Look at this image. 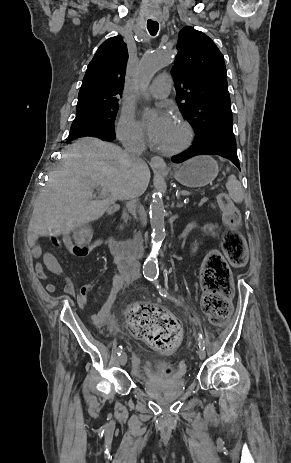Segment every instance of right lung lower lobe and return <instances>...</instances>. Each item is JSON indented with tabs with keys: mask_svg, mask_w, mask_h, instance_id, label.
<instances>
[{
	"mask_svg": "<svg viewBox=\"0 0 291 463\" xmlns=\"http://www.w3.org/2000/svg\"><path fill=\"white\" fill-rule=\"evenodd\" d=\"M101 140H104V141H111V140H114L115 139V136H100V137H97Z\"/></svg>",
	"mask_w": 291,
	"mask_h": 463,
	"instance_id": "1",
	"label": "right lung lower lobe"
}]
</instances>
